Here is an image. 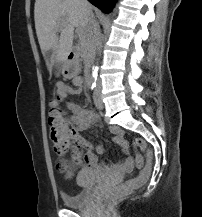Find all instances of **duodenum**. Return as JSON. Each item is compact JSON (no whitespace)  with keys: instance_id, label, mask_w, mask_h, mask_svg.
<instances>
[{"instance_id":"obj_1","label":"duodenum","mask_w":202,"mask_h":217,"mask_svg":"<svg viewBox=\"0 0 202 217\" xmlns=\"http://www.w3.org/2000/svg\"><path fill=\"white\" fill-rule=\"evenodd\" d=\"M68 65H67V72L74 73L77 68V54L74 49H71L68 52ZM87 84L92 82L90 74H87Z\"/></svg>"}]
</instances>
